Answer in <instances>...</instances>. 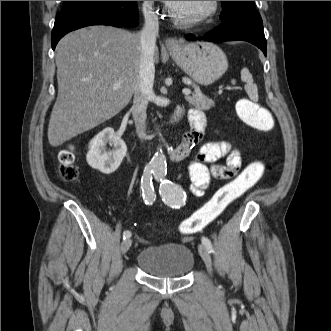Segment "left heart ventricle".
<instances>
[{
    "mask_svg": "<svg viewBox=\"0 0 331 331\" xmlns=\"http://www.w3.org/2000/svg\"><path fill=\"white\" fill-rule=\"evenodd\" d=\"M209 1H176L171 5L173 11L181 17H192L208 7Z\"/></svg>",
    "mask_w": 331,
    "mask_h": 331,
    "instance_id": "obj_1",
    "label": "left heart ventricle"
}]
</instances>
